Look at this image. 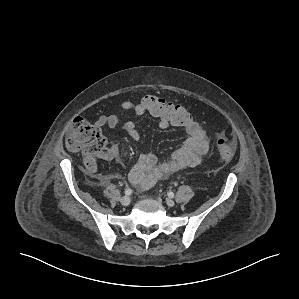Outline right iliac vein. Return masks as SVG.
<instances>
[{
	"mask_svg": "<svg viewBox=\"0 0 299 299\" xmlns=\"http://www.w3.org/2000/svg\"><path fill=\"white\" fill-rule=\"evenodd\" d=\"M120 202L124 206H128L131 203V198L129 196H124L120 199Z\"/></svg>",
	"mask_w": 299,
	"mask_h": 299,
	"instance_id": "63e3f726",
	"label": "right iliac vein"
}]
</instances>
